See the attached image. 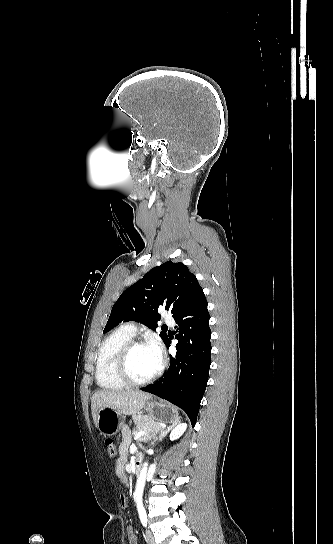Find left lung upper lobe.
<instances>
[{
  "label": "left lung upper lobe",
  "instance_id": "5c2ea615",
  "mask_svg": "<svg viewBox=\"0 0 333 544\" xmlns=\"http://www.w3.org/2000/svg\"><path fill=\"white\" fill-rule=\"evenodd\" d=\"M203 293L194 274L183 263L167 261L151 269L141 280L126 289L114 304L104 333L121 322L136 321L155 330L158 309L171 310L173 317ZM167 341L168 336L160 332Z\"/></svg>",
  "mask_w": 333,
  "mask_h": 544
}]
</instances>
